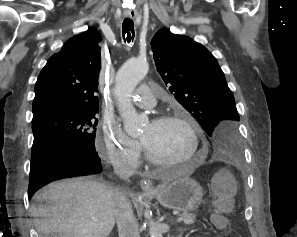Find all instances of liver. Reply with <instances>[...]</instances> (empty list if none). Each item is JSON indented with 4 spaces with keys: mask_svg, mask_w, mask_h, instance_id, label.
Segmentation results:
<instances>
[{
    "mask_svg": "<svg viewBox=\"0 0 297 237\" xmlns=\"http://www.w3.org/2000/svg\"><path fill=\"white\" fill-rule=\"evenodd\" d=\"M114 192L85 177L49 184L31 206L39 237H107L115 225Z\"/></svg>",
    "mask_w": 297,
    "mask_h": 237,
    "instance_id": "6515ba94",
    "label": "liver"
}]
</instances>
